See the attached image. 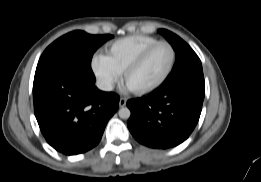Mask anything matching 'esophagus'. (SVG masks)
I'll use <instances>...</instances> for the list:
<instances>
[{
    "label": "esophagus",
    "mask_w": 261,
    "mask_h": 182,
    "mask_svg": "<svg viewBox=\"0 0 261 182\" xmlns=\"http://www.w3.org/2000/svg\"><path fill=\"white\" fill-rule=\"evenodd\" d=\"M126 98L124 97H121L120 100H119V107H124L126 105Z\"/></svg>",
    "instance_id": "1"
}]
</instances>
